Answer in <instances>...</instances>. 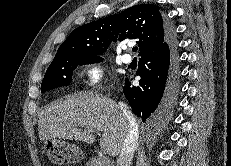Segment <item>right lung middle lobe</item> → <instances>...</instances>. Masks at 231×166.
<instances>
[{
  "mask_svg": "<svg viewBox=\"0 0 231 166\" xmlns=\"http://www.w3.org/2000/svg\"><path fill=\"white\" fill-rule=\"evenodd\" d=\"M101 59L98 55H83L59 58L52 61L43 78L41 92L69 85L73 71L77 66L100 62Z\"/></svg>",
  "mask_w": 231,
  "mask_h": 166,
  "instance_id": "1",
  "label": "right lung middle lobe"
}]
</instances>
